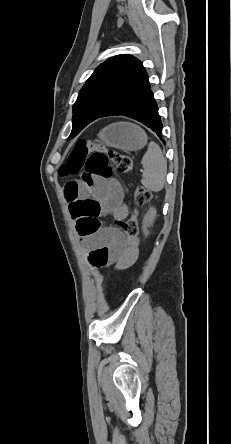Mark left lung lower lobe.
<instances>
[{"label": "left lung lower lobe", "mask_w": 231, "mask_h": 444, "mask_svg": "<svg viewBox=\"0 0 231 444\" xmlns=\"http://www.w3.org/2000/svg\"><path fill=\"white\" fill-rule=\"evenodd\" d=\"M115 115H124L136 119L161 137L162 123L148 79L139 86L136 93L130 99L125 101ZM162 142L165 144L164 140H162Z\"/></svg>", "instance_id": "left-lung-lower-lobe-1"}]
</instances>
